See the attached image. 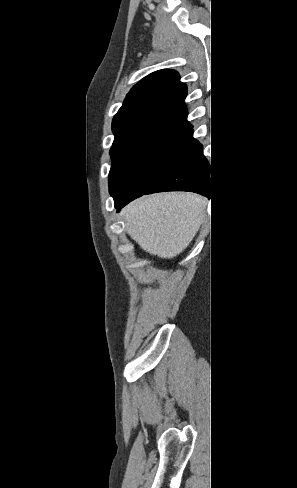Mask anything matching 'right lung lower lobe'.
<instances>
[{
  "label": "right lung lower lobe",
  "instance_id": "right-lung-lower-lobe-1",
  "mask_svg": "<svg viewBox=\"0 0 297 488\" xmlns=\"http://www.w3.org/2000/svg\"><path fill=\"white\" fill-rule=\"evenodd\" d=\"M192 126L174 134L151 160L130 190L114 198L118 210L145 194L191 191L209 198L212 193L208 162L202 145L193 138Z\"/></svg>",
  "mask_w": 297,
  "mask_h": 488
}]
</instances>
